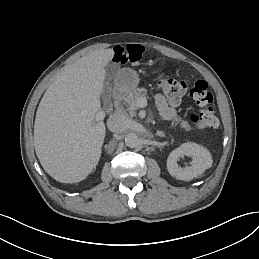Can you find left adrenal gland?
I'll return each mask as SVG.
<instances>
[{"label":"left adrenal gland","instance_id":"left-adrenal-gland-1","mask_svg":"<svg viewBox=\"0 0 259 259\" xmlns=\"http://www.w3.org/2000/svg\"><path fill=\"white\" fill-rule=\"evenodd\" d=\"M155 137L164 138V137H165V133H163V132H157V133L155 134Z\"/></svg>","mask_w":259,"mask_h":259}]
</instances>
